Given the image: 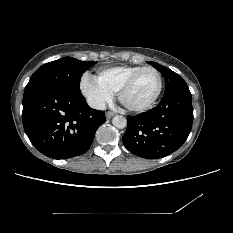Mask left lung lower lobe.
Instances as JSON below:
<instances>
[{"mask_svg":"<svg viewBox=\"0 0 233 233\" xmlns=\"http://www.w3.org/2000/svg\"><path fill=\"white\" fill-rule=\"evenodd\" d=\"M192 122L191 93L187 85H181L165 93L155 108L128 116L122 140L125 147L139 157L161 158L183 145Z\"/></svg>","mask_w":233,"mask_h":233,"instance_id":"left-lung-lower-lobe-1","label":"left lung lower lobe"}]
</instances>
